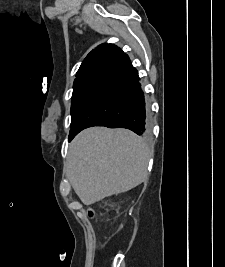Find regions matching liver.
<instances>
[{"mask_svg":"<svg viewBox=\"0 0 225 267\" xmlns=\"http://www.w3.org/2000/svg\"><path fill=\"white\" fill-rule=\"evenodd\" d=\"M150 156L148 145L130 130L92 127L72 140L67 176L81 201L91 205L144 182Z\"/></svg>","mask_w":225,"mask_h":267,"instance_id":"1","label":"liver"}]
</instances>
